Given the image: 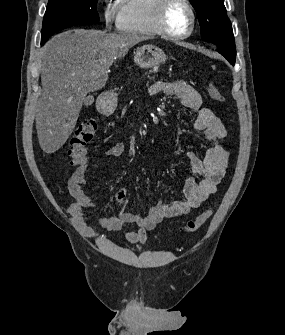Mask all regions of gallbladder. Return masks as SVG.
I'll return each instance as SVG.
<instances>
[{"instance_id":"bac80fb5","label":"gallbladder","mask_w":285,"mask_h":335,"mask_svg":"<svg viewBox=\"0 0 285 335\" xmlns=\"http://www.w3.org/2000/svg\"><path fill=\"white\" fill-rule=\"evenodd\" d=\"M94 100L92 98V96H88V98H86V100H84V106H91V104H93Z\"/></svg>"}]
</instances>
